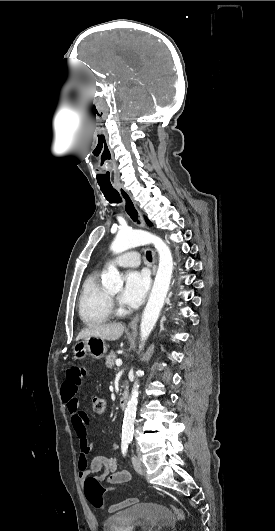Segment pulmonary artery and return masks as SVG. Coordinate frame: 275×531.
<instances>
[{
	"label": "pulmonary artery",
	"instance_id": "pulmonary-artery-1",
	"mask_svg": "<svg viewBox=\"0 0 275 531\" xmlns=\"http://www.w3.org/2000/svg\"><path fill=\"white\" fill-rule=\"evenodd\" d=\"M132 254H135V252H130L128 253L127 255H132ZM140 253H137V256H134L133 259L129 258L128 256H125L123 259H119L120 260V264L123 265V268H126V266H133V265H136L139 267L138 263L140 262ZM114 261H116L117 259L114 258L113 259Z\"/></svg>",
	"mask_w": 275,
	"mask_h": 531
}]
</instances>
